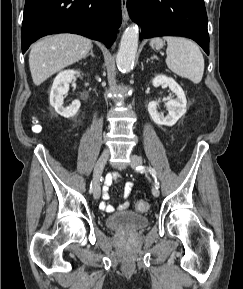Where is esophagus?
Wrapping results in <instances>:
<instances>
[{
	"mask_svg": "<svg viewBox=\"0 0 243 289\" xmlns=\"http://www.w3.org/2000/svg\"><path fill=\"white\" fill-rule=\"evenodd\" d=\"M121 6H122V17L123 20L126 22L129 20V14L127 11V0H121Z\"/></svg>",
	"mask_w": 243,
	"mask_h": 289,
	"instance_id": "1",
	"label": "esophagus"
}]
</instances>
